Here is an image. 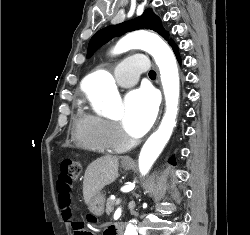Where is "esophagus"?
Listing matches in <instances>:
<instances>
[{
	"instance_id": "esophagus-1",
	"label": "esophagus",
	"mask_w": 250,
	"mask_h": 235,
	"mask_svg": "<svg viewBox=\"0 0 250 235\" xmlns=\"http://www.w3.org/2000/svg\"><path fill=\"white\" fill-rule=\"evenodd\" d=\"M161 113H162V107L160 109V112H159V116H158V119H157V122L159 121L160 117H161ZM122 162L123 163H133V159L130 157V156H126L122 159Z\"/></svg>"
}]
</instances>
